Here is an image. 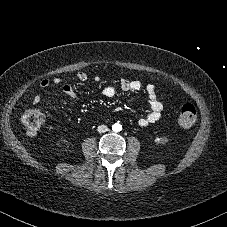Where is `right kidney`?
I'll list each match as a JSON object with an SVG mask.
<instances>
[{
  "label": "right kidney",
  "mask_w": 227,
  "mask_h": 227,
  "mask_svg": "<svg viewBox=\"0 0 227 227\" xmlns=\"http://www.w3.org/2000/svg\"><path fill=\"white\" fill-rule=\"evenodd\" d=\"M63 142L65 143V142H67L66 140H63Z\"/></svg>",
  "instance_id": "ca27d5eb"
}]
</instances>
